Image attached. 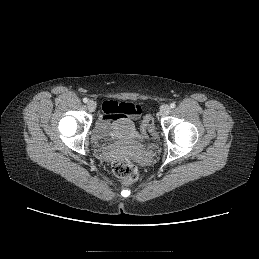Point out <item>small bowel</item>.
<instances>
[{
  "label": "small bowel",
  "mask_w": 259,
  "mask_h": 259,
  "mask_svg": "<svg viewBox=\"0 0 259 259\" xmlns=\"http://www.w3.org/2000/svg\"><path fill=\"white\" fill-rule=\"evenodd\" d=\"M129 107V111L126 109ZM103 114L100 118V129L107 130L113 127L117 122H130L131 118H138L141 114V108L137 104L118 103L117 101H105L102 105Z\"/></svg>",
  "instance_id": "obj_1"
}]
</instances>
